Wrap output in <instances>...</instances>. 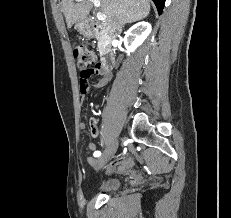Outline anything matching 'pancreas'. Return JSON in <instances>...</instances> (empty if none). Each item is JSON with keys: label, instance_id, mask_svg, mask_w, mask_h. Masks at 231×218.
Wrapping results in <instances>:
<instances>
[{"label": "pancreas", "instance_id": "cf45deb5", "mask_svg": "<svg viewBox=\"0 0 231 218\" xmlns=\"http://www.w3.org/2000/svg\"><path fill=\"white\" fill-rule=\"evenodd\" d=\"M98 41L100 42V41H101V38H98Z\"/></svg>", "mask_w": 231, "mask_h": 218}]
</instances>
